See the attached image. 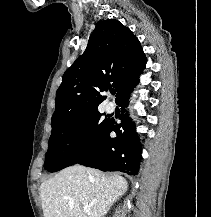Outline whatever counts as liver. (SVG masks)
Instances as JSON below:
<instances>
[{"mask_svg":"<svg viewBox=\"0 0 211 217\" xmlns=\"http://www.w3.org/2000/svg\"><path fill=\"white\" fill-rule=\"evenodd\" d=\"M128 188L117 174H105L80 165L61 170L40 186L44 217H104ZM90 206L85 213L84 206Z\"/></svg>","mask_w":211,"mask_h":217,"instance_id":"liver-1","label":"liver"}]
</instances>
